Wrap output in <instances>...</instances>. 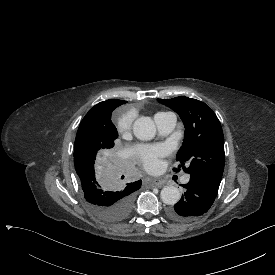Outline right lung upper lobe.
<instances>
[{
	"label": "right lung upper lobe",
	"instance_id": "right-lung-upper-lobe-1",
	"mask_svg": "<svg viewBox=\"0 0 275 275\" xmlns=\"http://www.w3.org/2000/svg\"><path fill=\"white\" fill-rule=\"evenodd\" d=\"M126 102L127 101L115 100V99L100 102L97 105H95L92 109H90V111L86 114V116L84 118L85 119L108 118L111 116L112 111L116 107H118ZM130 184H141V180L136 181L134 183H130Z\"/></svg>",
	"mask_w": 275,
	"mask_h": 275
}]
</instances>
